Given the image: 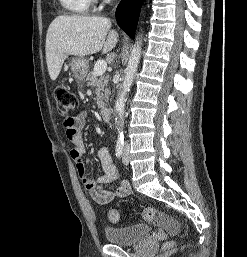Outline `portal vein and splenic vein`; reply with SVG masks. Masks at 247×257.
<instances>
[{"label":"portal vein and splenic vein","instance_id":"obj_1","mask_svg":"<svg viewBox=\"0 0 247 257\" xmlns=\"http://www.w3.org/2000/svg\"><path fill=\"white\" fill-rule=\"evenodd\" d=\"M106 68H107V63L103 60H99L95 63L94 74L96 76L103 75L106 71Z\"/></svg>","mask_w":247,"mask_h":257}]
</instances>
